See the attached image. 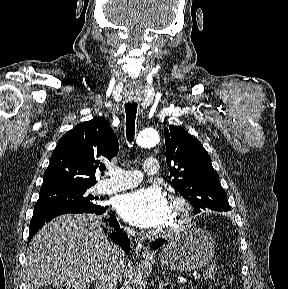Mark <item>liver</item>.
<instances>
[{"label": "liver", "instance_id": "1", "mask_svg": "<svg viewBox=\"0 0 288 289\" xmlns=\"http://www.w3.org/2000/svg\"><path fill=\"white\" fill-rule=\"evenodd\" d=\"M112 246L94 215L66 214L53 219L28 246V289L48 284L87 289L108 262ZM124 265L123 259L121 271Z\"/></svg>", "mask_w": 288, "mask_h": 289}]
</instances>
